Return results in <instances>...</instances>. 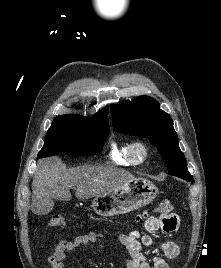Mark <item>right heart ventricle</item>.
Listing matches in <instances>:
<instances>
[{
  "mask_svg": "<svg viewBox=\"0 0 221 268\" xmlns=\"http://www.w3.org/2000/svg\"><path fill=\"white\" fill-rule=\"evenodd\" d=\"M129 142H117L113 141L110 146L109 157L110 159L118 164L123 166L134 165L135 163L131 160L129 155Z\"/></svg>",
  "mask_w": 221,
  "mask_h": 268,
  "instance_id": "right-heart-ventricle-1",
  "label": "right heart ventricle"
}]
</instances>
